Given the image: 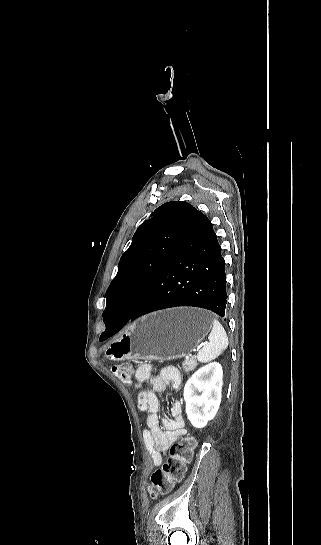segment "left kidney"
Returning <instances> with one entry per match:
<instances>
[{
	"instance_id": "obj_1",
	"label": "left kidney",
	"mask_w": 321,
	"mask_h": 545,
	"mask_svg": "<svg viewBox=\"0 0 321 545\" xmlns=\"http://www.w3.org/2000/svg\"><path fill=\"white\" fill-rule=\"evenodd\" d=\"M223 371L220 363H210L192 375L184 387L186 415L196 429L214 419L221 403ZM201 393V395H197Z\"/></svg>"
}]
</instances>
